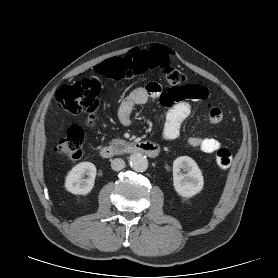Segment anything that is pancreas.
Listing matches in <instances>:
<instances>
[{
  "mask_svg": "<svg viewBox=\"0 0 278 278\" xmlns=\"http://www.w3.org/2000/svg\"><path fill=\"white\" fill-rule=\"evenodd\" d=\"M110 145L114 149H118L119 147L127 145V142L122 139H113V140H111Z\"/></svg>",
  "mask_w": 278,
  "mask_h": 278,
  "instance_id": "pancreas-1",
  "label": "pancreas"
}]
</instances>
